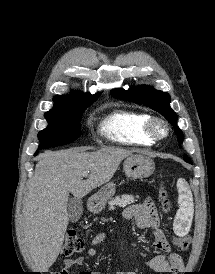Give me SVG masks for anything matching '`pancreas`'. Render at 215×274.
<instances>
[{
    "instance_id": "obj_1",
    "label": "pancreas",
    "mask_w": 215,
    "mask_h": 274,
    "mask_svg": "<svg viewBox=\"0 0 215 274\" xmlns=\"http://www.w3.org/2000/svg\"><path fill=\"white\" fill-rule=\"evenodd\" d=\"M136 201L137 200L132 195L117 196L109 202V210H114L115 206L124 207Z\"/></svg>"
}]
</instances>
